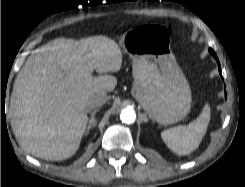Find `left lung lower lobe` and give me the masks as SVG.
Returning <instances> with one entry per match:
<instances>
[{"instance_id": "left-lung-lower-lobe-1", "label": "left lung lower lobe", "mask_w": 245, "mask_h": 187, "mask_svg": "<svg viewBox=\"0 0 245 187\" xmlns=\"http://www.w3.org/2000/svg\"><path fill=\"white\" fill-rule=\"evenodd\" d=\"M209 52H210V53L212 54V56L216 59L217 64L219 65V73L221 74V68H220L219 60H218V58H217L215 52H214L211 48L209 49ZM221 76H222V74H221Z\"/></svg>"}]
</instances>
